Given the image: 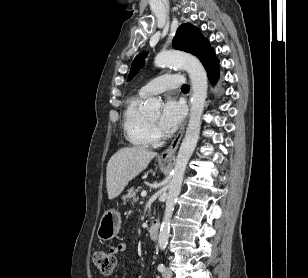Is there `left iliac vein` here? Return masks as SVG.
Returning a JSON list of instances; mask_svg holds the SVG:
<instances>
[{
  "mask_svg": "<svg viewBox=\"0 0 308 278\" xmlns=\"http://www.w3.org/2000/svg\"><path fill=\"white\" fill-rule=\"evenodd\" d=\"M172 275V271L168 267L162 273L163 278H172Z\"/></svg>",
  "mask_w": 308,
  "mask_h": 278,
  "instance_id": "4c4485c4",
  "label": "left iliac vein"
}]
</instances>
